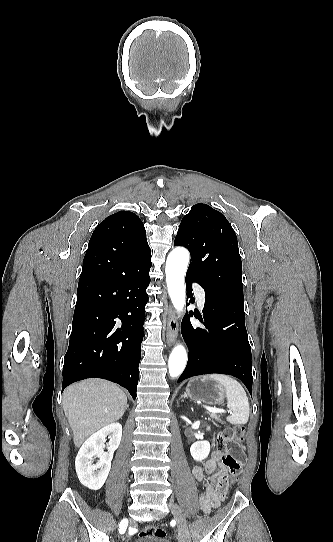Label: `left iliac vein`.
<instances>
[{
    "mask_svg": "<svg viewBox=\"0 0 333 542\" xmlns=\"http://www.w3.org/2000/svg\"><path fill=\"white\" fill-rule=\"evenodd\" d=\"M168 507L170 508L174 519L177 521L179 542H191L188 526L182 509L172 501L168 503Z\"/></svg>",
    "mask_w": 333,
    "mask_h": 542,
    "instance_id": "4c4485c4",
    "label": "left iliac vein"
}]
</instances>
